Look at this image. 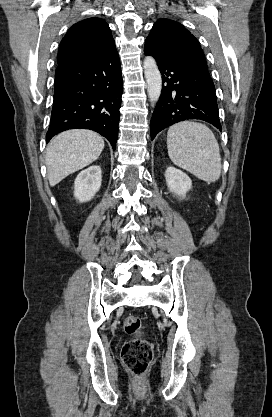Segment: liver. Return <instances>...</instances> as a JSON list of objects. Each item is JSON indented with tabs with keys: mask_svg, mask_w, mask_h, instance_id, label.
<instances>
[{
	"mask_svg": "<svg viewBox=\"0 0 272 417\" xmlns=\"http://www.w3.org/2000/svg\"><path fill=\"white\" fill-rule=\"evenodd\" d=\"M103 148L102 137L89 130H69L54 137L45 158L50 186L93 163Z\"/></svg>",
	"mask_w": 272,
	"mask_h": 417,
	"instance_id": "6515ba94",
	"label": "liver"
}]
</instances>
